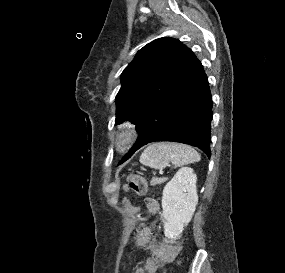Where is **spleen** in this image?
Returning a JSON list of instances; mask_svg holds the SVG:
<instances>
[{
	"instance_id": "spleen-1",
	"label": "spleen",
	"mask_w": 285,
	"mask_h": 273,
	"mask_svg": "<svg viewBox=\"0 0 285 273\" xmlns=\"http://www.w3.org/2000/svg\"><path fill=\"white\" fill-rule=\"evenodd\" d=\"M199 161L200 155L191 146L170 142L152 144L140 157L142 164L157 170H162L170 163L176 168Z\"/></svg>"
}]
</instances>
